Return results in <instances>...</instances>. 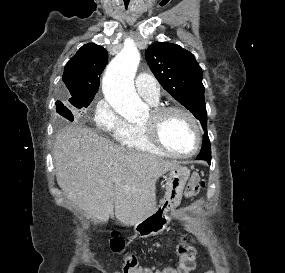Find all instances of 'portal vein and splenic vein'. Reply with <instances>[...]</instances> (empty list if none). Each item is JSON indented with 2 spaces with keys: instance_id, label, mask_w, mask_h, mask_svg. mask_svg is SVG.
<instances>
[{
  "instance_id": "1",
  "label": "portal vein and splenic vein",
  "mask_w": 285,
  "mask_h": 273,
  "mask_svg": "<svg viewBox=\"0 0 285 273\" xmlns=\"http://www.w3.org/2000/svg\"><path fill=\"white\" fill-rule=\"evenodd\" d=\"M114 181H118L116 178H113Z\"/></svg>"
}]
</instances>
